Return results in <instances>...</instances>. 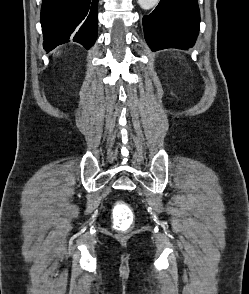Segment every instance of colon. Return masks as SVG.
Masks as SVG:
<instances>
[{
  "mask_svg": "<svg viewBox=\"0 0 249 294\" xmlns=\"http://www.w3.org/2000/svg\"><path fill=\"white\" fill-rule=\"evenodd\" d=\"M132 215L124 203H116L114 206L113 225L116 230L125 231L132 225Z\"/></svg>",
  "mask_w": 249,
  "mask_h": 294,
  "instance_id": "5ec220e1",
  "label": "colon"
}]
</instances>
